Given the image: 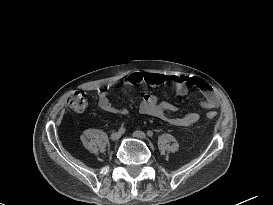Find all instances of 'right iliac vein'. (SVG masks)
I'll use <instances>...</instances> for the list:
<instances>
[{
    "label": "right iliac vein",
    "mask_w": 273,
    "mask_h": 205,
    "mask_svg": "<svg viewBox=\"0 0 273 205\" xmlns=\"http://www.w3.org/2000/svg\"><path fill=\"white\" fill-rule=\"evenodd\" d=\"M121 137V133L120 132H113L110 136V139L112 141H117L119 138Z\"/></svg>",
    "instance_id": "obj_1"
}]
</instances>
